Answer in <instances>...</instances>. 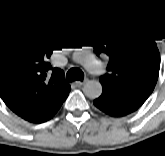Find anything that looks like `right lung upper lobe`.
Here are the masks:
<instances>
[{
  "instance_id": "cb5924a9",
  "label": "right lung upper lobe",
  "mask_w": 165,
  "mask_h": 156,
  "mask_svg": "<svg viewBox=\"0 0 165 156\" xmlns=\"http://www.w3.org/2000/svg\"><path fill=\"white\" fill-rule=\"evenodd\" d=\"M53 39L51 29L30 30L0 44V97L29 122L52 112L70 92L63 71L48 62Z\"/></svg>"
}]
</instances>
